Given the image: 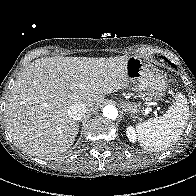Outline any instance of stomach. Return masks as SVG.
<instances>
[{
    "instance_id": "1",
    "label": "stomach",
    "mask_w": 196,
    "mask_h": 196,
    "mask_svg": "<svg viewBox=\"0 0 196 196\" xmlns=\"http://www.w3.org/2000/svg\"><path fill=\"white\" fill-rule=\"evenodd\" d=\"M127 86L132 91H146L151 97L161 99L167 89V78L150 63L137 56H130L126 62ZM123 108L131 115L140 110L137 104L124 102Z\"/></svg>"
}]
</instances>
